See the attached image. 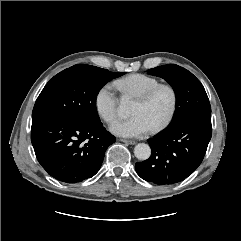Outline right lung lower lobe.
Returning a JSON list of instances; mask_svg holds the SVG:
<instances>
[{"label": "right lung lower lobe", "mask_w": 241, "mask_h": 241, "mask_svg": "<svg viewBox=\"0 0 241 241\" xmlns=\"http://www.w3.org/2000/svg\"><path fill=\"white\" fill-rule=\"evenodd\" d=\"M116 138L102 123L88 124L67 118L32 121L31 142L46 172L65 183L94 176Z\"/></svg>", "instance_id": "right-lung-lower-lobe-1"}]
</instances>
